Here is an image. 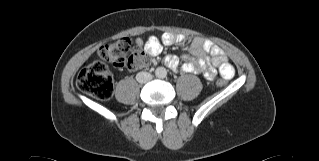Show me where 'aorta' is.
Wrapping results in <instances>:
<instances>
[{
  "instance_id": "aorta-1",
  "label": "aorta",
  "mask_w": 319,
  "mask_h": 161,
  "mask_svg": "<svg viewBox=\"0 0 319 161\" xmlns=\"http://www.w3.org/2000/svg\"><path fill=\"white\" fill-rule=\"evenodd\" d=\"M155 75L156 77L158 78H165L166 75H167V71L164 67H158L156 70H155Z\"/></svg>"
}]
</instances>
